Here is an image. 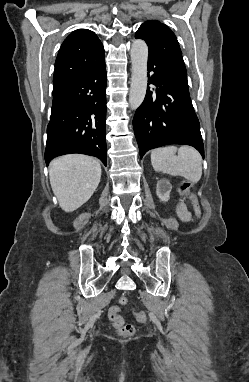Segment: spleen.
<instances>
[{
  "label": "spleen",
  "instance_id": "1",
  "mask_svg": "<svg viewBox=\"0 0 249 382\" xmlns=\"http://www.w3.org/2000/svg\"><path fill=\"white\" fill-rule=\"evenodd\" d=\"M176 152L178 155H176ZM151 163L155 171L182 176L196 183L202 176V157L191 146L161 147L151 151Z\"/></svg>",
  "mask_w": 249,
  "mask_h": 382
}]
</instances>
